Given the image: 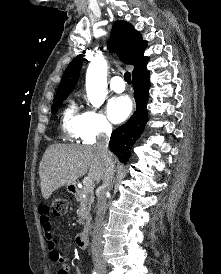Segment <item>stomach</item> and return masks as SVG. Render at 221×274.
<instances>
[{"label":"stomach","instance_id":"obj_1","mask_svg":"<svg viewBox=\"0 0 221 274\" xmlns=\"http://www.w3.org/2000/svg\"><path fill=\"white\" fill-rule=\"evenodd\" d=\"M73 188H74V187H73L72 185L68 186V190H69V191H72Z\"/></svg>","mask_w":221,"mask_h":274}]
</instances>
